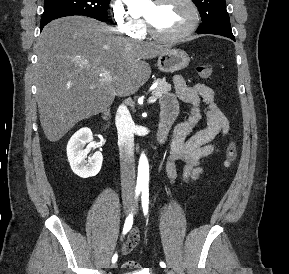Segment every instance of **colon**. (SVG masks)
I'll use <instances>...</instances> for the list:
<instances>
[{"mask_svg": "<svg viewBox=\"0 0 289 274\" xmlns=\"http://www.w3.org/2000/svg\"><path fill=\"white\" fill-rule=\"evenodd\" d=\"M197 73L199 77L203 80L209 81L212 79L213 76V66L210 64H201L197 66ZM237 157V147L234 142H230L227 145L226 151H225V160H224V167L225 168H231L234 165V162ZM140 265L135 260H128L124 262L123 268L128 270H137L139 269ZM146 272V271H144Z\"/></svg>", "mask_w": 289, "mask_h": 274, "instance_id": "1", "label": "colon"}]
</instances>
